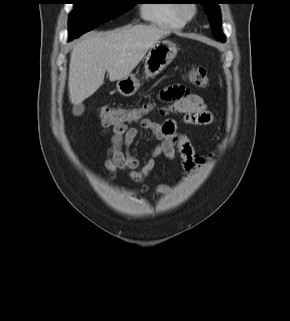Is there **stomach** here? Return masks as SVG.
Returning a JSON list of instances; mask_svg holds the SVG:
<instances>
[{
  "mask_svg": "<svg viewBox=\"0 0 290 321\" xmlns=\"http://www.w3.org/2000/svg\"><path fill=\"white\" fill-rule=\"evenodd\" d=\"M177 55V47L168 40L157 41L148 51L144 59L145 78H152L166 68ZM140 81L134 74L118 80L116 87L123 96H131L140 87Z\"/></svg>",
  "mask_w": 290,
  "mask_h": 321,
  "instance_id": "0dacf381",
  "label": "stomach"
}]
</instances>
